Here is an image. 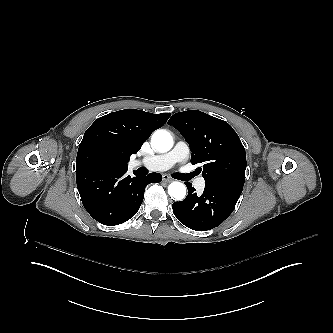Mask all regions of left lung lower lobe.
Masks as SVG:
<instances>
[{
  "instance_id": "obj_1",
  "label": "left lung lower lobe",
  "mask_w": 333,
  "mask_h": 333,
  "mask_svg": "<svg viewBox=\"0 0 333 333\" xmlns=\"http://www.w3.org/2000/svg\"><path fill=\"white\" fill-rule=\"evenodd\" d=\"M187 197L173 203L176 218L186 227L195 231H206L219 226L233 212L241 195V190L207 186L202 195H197L192 184L185 182Z\"/></svg>"
}]
</instances>
